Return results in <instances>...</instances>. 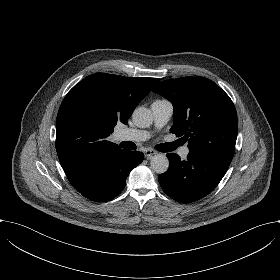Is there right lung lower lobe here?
I'll return each mask as SVG.
<instances>
[{
  "label": "right lung lower lobe",
  "instance_id": "1",
  "mask_svg": "<svg viewBox=\"0 0 280 280\" xmlns=\"http://www.w3.org/2000/svg\"><path fill=\"white\" fill-rule=\"evenodd\" d=\"M143 159L142 152L120 150L93 161L70 183L85 198L105 202L121 193L130 171Z\"/></svg>",
  "mask_w": 280,
  "mask_h": 280
}]
</instances>
